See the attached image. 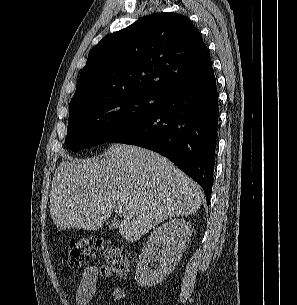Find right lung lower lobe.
Wrapping results in <instances>:
<instances>
[{
    "label": "right lung lower lobe",
    "mask_w": 297,
    "mask_h": 305,
    "mask_svg": "<svg viewBox=\"0 0 297 305\" xmlns=\"http://www.w3.org/2000/svg\"><path fill=\"white\" fill-rule=\"evenodd\" d=\"M216 79L175 87L160 94L148 116L110 139L162 154L198 182L209 205L218 126Z\"/></svg>",
    "instance_id": "right-lung-lower-lobe-1"
}]
</instances>
